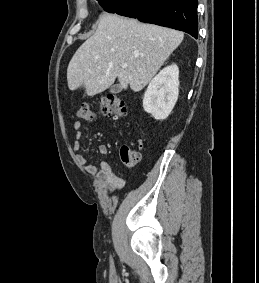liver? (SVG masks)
<instances>
[{"label":"liver","mask_w":259,"mask_h":283,"mask_svg":"<svg viewBox=\"0 0 259 283\" xmlns=\"http://www.w3.org/2000/svg\"><path fill=\"white\" fill-rule=\"evenodd\" d=\"M184 33L135 19L104 14L96 32L75 52L67 68L71 90L88 96L109 88L118 78L122 89L138 92L180 45ZM127 64L123 69L121 65Z\"/></svg>","instance_id":"obj_1"}]
</instances>
